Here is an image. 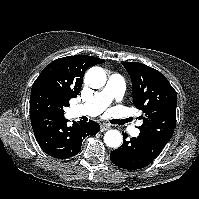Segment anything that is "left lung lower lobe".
<instances>
[{"mask_svg":"<svg viewBox=\"0 0 199 199\" xmlns=\"http://www.w3.org/2000/svg\"><path fill=\"white\" fill-rule=\"evenodd\" d=\"M124 136V134H123ZM165 144L149 136L139 134L110 154L111 161L120 168L137 170L148 166L162 151Z\"/></svg>","mask_w":199,"mask_h":199,"instance_id":"0a47b994","label":"left lung lower lobe"}]
</instances>
